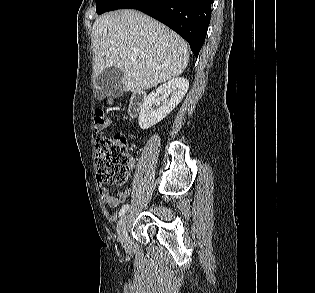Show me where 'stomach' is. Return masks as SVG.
I'll list each match as a JSON object with an SVG mask.
<instances>
[{"instance_id":"1","label":"stomach","mask_w":315,"mask_h":293,"mask_svg":"<svg viewBox=\"0 0 315 293\" xmlns=\"http://www.w3.org/2000/svg\"><path fill=\"white\" fill-rule=\"evenodd\" d=\"M108 101H109L110 103H113V102L115 101V98H114L113 96H110V97L108 98Z\"/></svg>"}]
</instances>
